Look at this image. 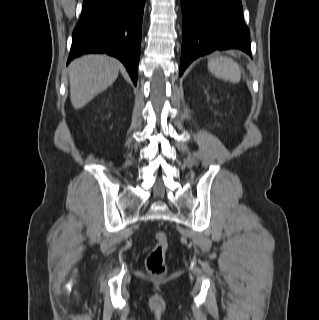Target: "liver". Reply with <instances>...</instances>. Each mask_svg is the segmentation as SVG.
I'll use <instances>...</instances> for the list:
<instances>
[{
  "label": "liver",
  "mask_w": 319,
  "mask_h": 320,
  "mask_svg": "<svg viewBox=\"0 0 319 320\" xmlns=\"http://www.w3.org/2000/svg\"><path fill=\"white\" fill-rule=\"evenodd\" d=\"M118 74V65L107 55L89 54L75 59L69 66L70 100L73 107H84L112 85Z\"/></svg>",
  "instance_id": "1"
}]
</instances>
